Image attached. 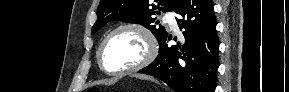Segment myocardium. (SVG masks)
Returning a JSON list of instances; mask_svg holds the SVG:
<instances>
[{
    "label": "myocardium",
    "mask_w": 289,
    "mask_h": 92,
    "mask_svg": "<svg viewBox=\"0 0 289 92\" xmlns=\"http://www.w3.org/2000/svg\"><path fill=\"white\" fill-rule=\"evenodd\" d=\"M123 30H133V31L138 32L144 38V40L146 42L147 51H146V54L143 57V59L139 63H137L136 65L131 66V67L126 68V69H122V70L110 71V70L106 69V67L103 64V60H102L103 50H104L107 42L116 33L123 31ZM157 54H158V43H157V40H156L154 34L151 32V30L148 27H146L145 25L140 24V23H124V24H121V25L115 27L113 30H111L104 37V39L100 43L98 50H97V62H98L100 69L103 72H105L106 74L125 75V74H129V73L137 72V71L145 68L146 66H148L149 64H151L154 61Z\"/></svg>",
    "instance_id": "1"
}]
</instances>
